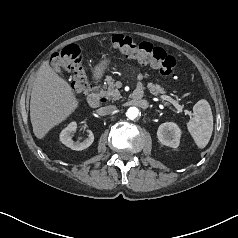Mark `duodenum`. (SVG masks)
Masks as SVG:
<instances>
[{
  "label": "duodenum",
  "instance_id": "obj_1",
  "mask_svg": "<svg viewBox=\"0 0 238 238\" xmlns=\"http://www.w3.org/2000/svg\"><path fill=\"white\" fill-rule=\"evenodd\" d=\"M133 100H140L143 97V88L138 85L131 95ZM105 101L99 87H94L87 95V102L91 107H99Z\"/></svg>",
  "mask_w": 238,
  "mask_h": 238
}]
</instances>
